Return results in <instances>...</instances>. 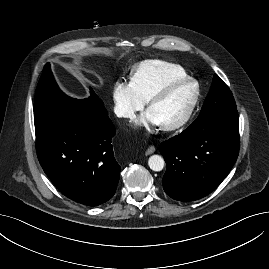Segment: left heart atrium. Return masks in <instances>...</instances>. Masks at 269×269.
<instances>
[{
    "label": "left heart atrium",
    "instance_id": "1",
    "mask_svg": "<svg viewBox=\"0 0 269 269\" xmlns=\"http://www.w3.org/2000/svg\"><path fill=\"white\" fill-rule=\"evenodd\" d=\"M136 124L146 128L160 125L159 121L149 110L138 118Z\"/></svg>",
    "mask_w": 269,
    "mask_h": 269
}]
</instances>
